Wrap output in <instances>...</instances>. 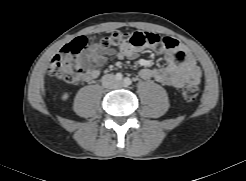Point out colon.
<instances>
[{"label":"colon","mask_w":246,"mask_h":181,"mask_svg":"<svg viewBox=\"0 0 246 181\" xmlns=\"http://www.w3.org/2000/svg\"><path fill=\"white\" fill-rule=\"evenodd\" d=\"M165 37L153 32L136 31L133 33L112 32L105 36L101 44L104 47L117 45L120 43H129L133 47H145L162 44ZM87 45L85 36H79L66 45L62 52L53 59L50 72L57 79L71 84H82L86 81L88 74L84 68L79 53L82 52ZM199 94V88L196 84H186L183 87V96L186 100H194Z\"/></svg>","instance_id":"5ec220e1"}]
</instances>
